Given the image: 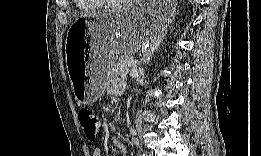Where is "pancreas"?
Masks as SVG:
<instances>
[{"mask_svg": "<svg viewBox=\"0 0 261 156\" xmlns=\"http://www.w3.org/2000/svg\"><path fill=\"white\" fill-rule=\"evenodd\" d=\"M133 59L130 55H122L116 61L111 62L108 66V74H127L129 67L127 66L128 61Z\"/></svg>", "mask_w": 261, "mask_h": 156, "instance_id": "cf45deb5", "label": "pancreas"}]
</instances>
